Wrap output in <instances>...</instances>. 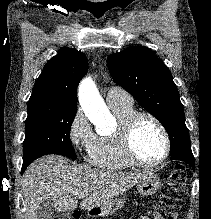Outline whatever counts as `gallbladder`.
<instances>
[{
  "instance_id": "gallbladder-1",
  "label": "gallbladder",
  "mask_w": 211,
  "mask_h": 219,
  "mask_svg": "<svg viewBox=\"0 0 211 219\" xmlns=\"http://www.w3.org/2000/svg\"><path fill=\"white\" fill-rule=\"evenodd\" d=\"M55 212L54 204L52 201H43L38 208V219H53Z\"/></svg>"
}]
</instances>
